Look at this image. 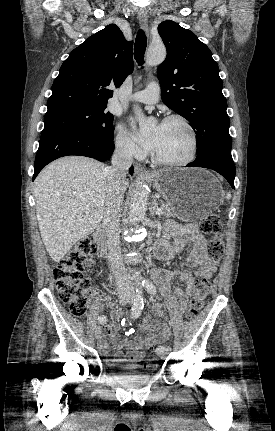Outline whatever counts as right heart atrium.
<instances>
[{"mask_svg":"<svg viewBox=\"0 0 275 431\" xmlns=\"http://www.w3.org/2000/svg\"><path fill=\"white\" fill-rule=\"evenodd\" d=\"M115 146L117 151L125 157H140L143 154L131 134L121 124L116 128Z\"/></svg>","mask_w":275,"mask_h":431,"instance_id":"1","label":"right heart atrium"}]
</instances>
